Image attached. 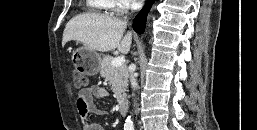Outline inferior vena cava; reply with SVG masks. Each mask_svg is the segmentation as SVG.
<instances>
[{
  "label": "inferior vena cava",
  "mask_w": 257,
  "mask_h": 130,
  "mask_svg": "<svg viewBox=\"0 0 257 130\" xmlns=\"http://www.w3.org/2000/svg\"><path fill=\"white\" fill-rule=\"evenodd\" d=\"M140 5H141V2H140V1H137V2L134 1V2L132 3V5H131V8H132V10H136L137 8L140 7ZM134 70H135V67H134V69H133V70L131 71V73H130V82H131V87H132V89H133V92H134L135 90H137V88H138L137 79H136V76H135V74H134ZM132 96H135V94L133 93ZM134 107H135V103H134ZM135 113L137 114L138 111L135 110Z\"/></svg>",
  "instance_id": "obj_1"
}]
</instances>
